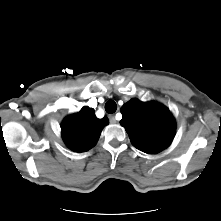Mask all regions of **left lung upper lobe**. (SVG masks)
Here are the masks:
<instances>
[{"mask_svg": "<svg viewBox=\"0 0 221 221\" xmlns=\"http://www.w3.org/2000/svg\"><path fill=\"white\" fill-rule=\"evenodd\" d=\"M120 124L126 129L134 147L148 154L167 148L175 135V120L170 111L155 102L131 99L121 108Z\"/></svg>", "mask_w": 221, "mask_h": 221, "instance_id": "1", "label": "left lung upper lobe"}]
</instances>
